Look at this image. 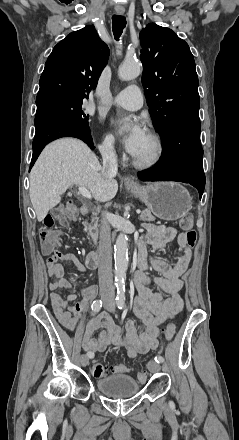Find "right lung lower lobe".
<instances>
[{"label": "right lung lower lobe", "instance_id": "right-lung-lower-lobe-1", "mask_svg": "<svg viewBox=\"0 0 239 440\" xmlns=\"http://www.w3.org/2000/svg\"><path fill=\"white\" fill-rule=\"evenodd\" d=\"M36 133L33 140V156L31 167L35 163L43 148L51 141L61 137H75L84 141L91 149H94L90 137L89 126L82 125L57 114H45L35 117Z\"/></svg>", "mask_w": 239, "mask_h": 440}]
</instances>
